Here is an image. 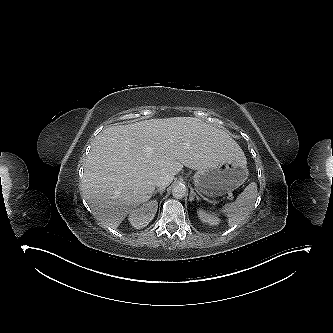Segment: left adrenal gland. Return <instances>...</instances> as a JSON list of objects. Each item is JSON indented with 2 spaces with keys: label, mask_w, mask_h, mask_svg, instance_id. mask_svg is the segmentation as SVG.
<instances>
[{
  "label": "left adrenal gland",
  "mask_w": 333,
  "mask_h": 333,
  "mask_svg": "<svg viewBox=\"0 0 333 333\" xmlns=\"http://www.w3.org/2000/svg\"><path fill=\"white\" fill-rule=\"evenodd\" d=\"M195 198H196L197 201H199V197H198L197 194L193 191V189H191L190 196H189V200H190V202H193Z\"/></svg>",
  "instance_id": "left-adrenal-gland-1"
}]
</instances>
